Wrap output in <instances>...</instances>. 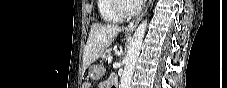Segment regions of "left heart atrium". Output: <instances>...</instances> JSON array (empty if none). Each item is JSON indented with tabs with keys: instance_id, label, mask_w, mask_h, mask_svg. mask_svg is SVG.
I'll list each match as a JSON object with an SVG mask.
<instances>
[{
	"instance_id": "39dd6f15",
	"label": "left heart atrium",
	"mask_w": 227,
	"mask_h": 88,
	"mask_svg": "<svg viewBox=\"0 0 227 88\" xmlns=\"http://www.w3.org/2000/svg\"><path fill=\"white\" fill-rule=\"evenodd\" d=\"M142 3H143L142 0H133V4H134V6H136V7H139Z\"/></svg>"
}]
</instances>
